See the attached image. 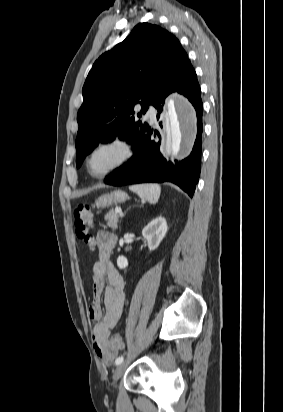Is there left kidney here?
<instances>
[{"mask_svg": "<svg viewBox=\"0 0 283 412\" xmlns=\"http://www.w3.org/2000/svg\"><path fill=\"white\" fill-rule=\"evenodd\" d=\"M168 227L164 217H158L152 220L143 230L142 235L146 239L149 250L153 251L160 245L161 241L167 233ZM117 266L120 269H125L128 266V261L124 256H119Z\"/></svg>", "mask_w": 283, "mask_h": 412, "instance_id": "1", "label": "left kidney"}]
</instances>
